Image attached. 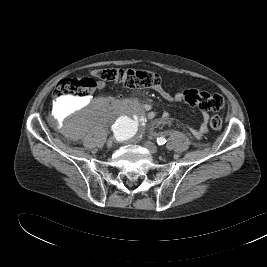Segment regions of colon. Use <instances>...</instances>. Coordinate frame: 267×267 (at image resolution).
Segmentation results:
<instances>
[{"label": "colon", "instance_id": "5ec220e1", "mask_svg": "<svg viewBox=\"0 0 267 267\" xmlns=\"http://www.w3.org/2000/svg\"><path fill=\"white\" fill-rule=\"evenodd\" d=\"M92 77L67 78L60 80L53 89L55 98L89 96L97 86L95 79L103 82L120 84L126 88H156L160 86V76L149 70L133 68H101L91 72ZM183 100L189 106L201 110L220 111L224 108V98L215 93H209L199 89H188L182 93ZM210 126L214 130L222 129V119L213 116Z\"/></svg>", "mask_w": 267, "mask_h": 267}]
</instances>
